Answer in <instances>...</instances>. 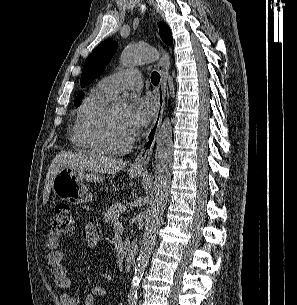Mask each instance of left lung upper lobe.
<instances>
[{
	"label": "left lung upper lobe",
	"instance_id": "left-lung-upper-lobe-1",
	"mask_svg": "<svg viewBox=\"0 0 297 305\" xmlns=\"http://www.w3.org/2000/svg\"><path fill=\"white\" fill-rule=\"evenodd\" d=\"M158 27L163 41L168 45H172L173 38L170 28L163 22H159ZM117 48L118 45L115 41L106 40L88 56L81 74L80 84L82 87L89 85L95 78L102 74ZM83 96V93L78 94L76 98L77 106L80 105Z\"/></svg>",
	"mask_w": 297,
	"mask_h": 305
}]
</instances>
